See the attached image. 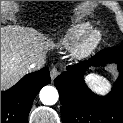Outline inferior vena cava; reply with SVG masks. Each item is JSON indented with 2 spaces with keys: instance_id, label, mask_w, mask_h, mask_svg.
I'll use <instances>...</instances> for the list:
<instances>
[{
  "instance_id": "602c4592",
  "label": "inferior vena cava",
  "mask_w": 123,
  "mask_h": 123,
  "mask_svg": "<svg viewBox=\"0 0 123 123\" xmlns=\"http://www.w3.org/2000/svg\"><path fill=\"white\" fill-rule=\"evenodd\" d=\"M44 64H45V58L43 57L38 61H34V62L27 64L26 68L29 71L39 70L44 66Z\"/></svg>"
}]
</instances>
